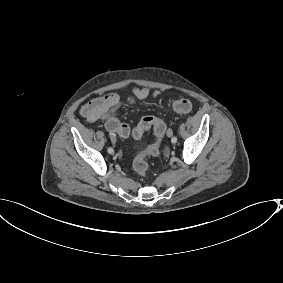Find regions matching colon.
<instances>
[{
	"label": "colon",
	"instance_id": "5ec220e1",
	"mask_svg": "<svg viewBox=\"0 0 283 283\" xmlns=\"http://www.w3.org/2000/svg\"><path fill=\"white\" fill-rule=\"evenodd\" d=\"M129 103L133 104L134 100H130ZM192 107V102L186 98L176 100L172 104V109L179 113H187L191 111ZM105 127L111 134H118L122 137H128L130 134L129 127L126 124L121 123L115 116H110L107 118ZM151 128H153L154 131L155 141L150 144L145 151L139 153L134 158L132 164L134 171L140 177H146L148 175V164L146 157L156 156L159 154L160 143L165 135L166 126L161 119L154 116H146L142 118L138 126L133 131L134 138L138 139L145 131Z\"/></svg>",
	"mask_w": 283,
	"mask_h": 283
}]
</instances>
